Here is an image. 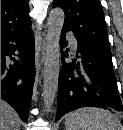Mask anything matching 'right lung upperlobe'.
Here are the masks:
<instances>
[{
  "instance_id": "obj_1",
  "label": "right lung upper lobe",
  "mask_w": 123,
  "mask_h": 130,
  "mask_svg": "<svg viewBox=\"0 0 123 130\" xmlns=\"http://www.w3.org/2000/svg\"><path fill=\"white\" fill-rule=\"evenodd\" d=\"M29 0H1V36L30 29Z\"/></svg>"
}]
</instances>
